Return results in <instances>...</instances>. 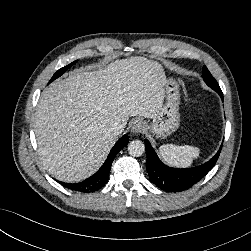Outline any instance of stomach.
<instances>
[{
    "label": "stomach",
    "instance_id": "0dacf381",
    "mask_svg": "<svg viewBox=\"0 0 251 251\" xmlns=\"http://www.w3.org/2000/svg\"><path fill=\"white\" fill-rule=\"evenodd\" d=\"M166 102L148 125V129L158 138H166L174 133L180 124L179 104L180 92L179 84L173 78H166L164 87Z\"/></svg>",
    "mask_w": 251,
    "mask_h": 251
}]
</instances>
